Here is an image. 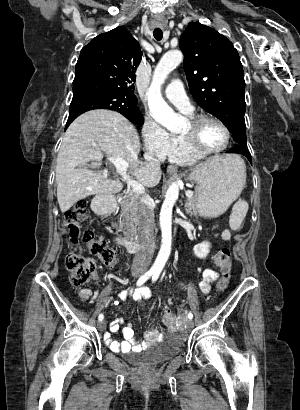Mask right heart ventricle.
<instances>
[{"mask_svg":"<svg viewBox=\"0 0 300 410\" xmlns=\"http://www.w3.org/2000/svg\"><path fill=\"white\" fill-rule=\"evenodd\" d=\"M170 162L181 165H192L200 161L203 157H200L193 153L184 142L180 135H172V145L166 155Z\"/></svg>","mask_w":300,"mask_h":410,"instance_id":"1","label":"right heart ventricle"}]
</instances>
